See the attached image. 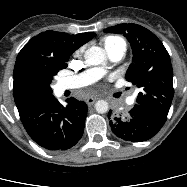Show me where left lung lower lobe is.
Here are the masks:
<instances>
[{
  "instance_id": "1",
  "label": "left lung lower lobe",
  "mask_w": 187,
  "mask_h": 187,
  "mask_svg": "<svg viewBox=\"0 0 187 187\" xmlns=\"http://www.w3.org/2000/svg\"><path fill=\"white\" fill-rule=\"evenodd\" d=\"M112 132L119 138L142 142L152 138L164 125L167 115L149 109L143 105L136 104L131 109L127 118H111V111L108 113Z\"/></svg>"
}]
</instances>
